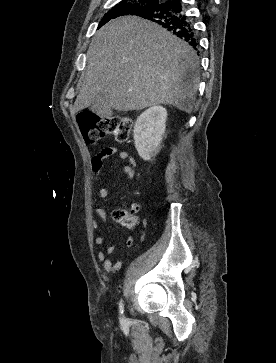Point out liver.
I'll return each mask as SVG.
<instances>
[{"label": "liver", "mask_w": 276, "mask_h": 363, "mask_svg": "<svg viewBox=\"0 0 276 363\" xmlns=\"http://www.w3.org/2000/svg\"><path fill=\"white\" fill-rule=\"evenodd\" d=\"M198 67L193 48L166 29L136 16L117 18L92 38L74 110L101 93L117 111L167 104L191 113Z\"/></svg>", "instance_id": "obj_1"}]
</instances>
